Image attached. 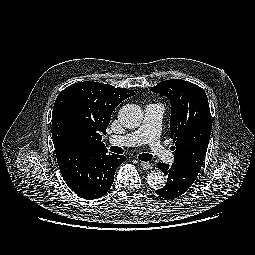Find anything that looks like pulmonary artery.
<instances>
[{
  "label": "pulmonary artery",
  "instance_id": "e3ab8cb5",
  "mask_svg": "<svg viewBox=\"0 0 255 255\" xmlns=\"http://www.w3.org/2000/svg\"><path fill=\"white\" fill-rule=\"evenodd\" d=\"M164 113V107L160 104L147 105L143 122L136 130L123 136L111 135L109 141L126 146L148 144L159 159L171 164L174 161V155L160 142L161 121Z\"/></svg>",
  "mask_w": 255,
  "mask_h": 255
}]
</instances>
